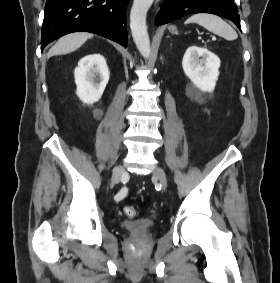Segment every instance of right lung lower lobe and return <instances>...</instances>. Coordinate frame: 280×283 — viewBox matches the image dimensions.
<instances>
[{"label":"right lung lower lobe","instance_id":"1","mask_svg":"<svg viewBox=\"0 0 280 283\" xmlns=\"http://www.w3.org/2000/svg\"><path fill=\"white\" fill-rule=\"evenodd\" d=\"M129 0H47L41 50L53 40L88 31L127 47L126 8Z\"/></svg>","mask_w":280,"mask_h":283}]
</instances>
